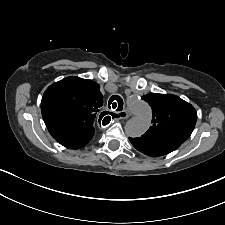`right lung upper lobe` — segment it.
<instances>
[{"mask_svg": "<svg viewBox=\"0 0 225 225\" xmlns=\"http://www.w3.org/2000/svg\"><path fill=\"white\" fill-rule=\"evenodd\" d=\"M99 87L96 82L79 77H67L49 86L41 101L46 126H70L93 132L103 104Z\"/></svg>", "mask_w": 225, "mask_h": 225, "instance_id": "cb5924a9", "label": "right lung upper lobe"}]
</instances>
